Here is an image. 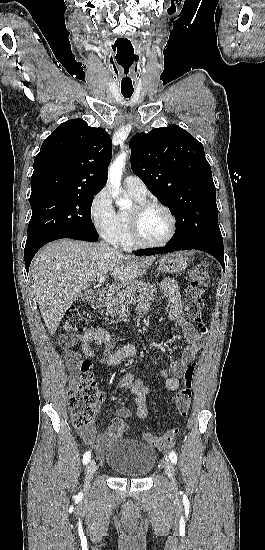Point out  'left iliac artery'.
<instances>
[{
	"mask_svg": "<svg viewBox=\"0 0 265 550\" xmlns=\"http://www.w3.org/2000/svg\"><path fill=\"white\" fill-rule=\"evenodd\" d=\"M169 458L171 460L172 463L176 464L177 463V455L174 451H171L170 454H169Z\"/></svg>",
	"mask_w": 265,
	"mask_h": 550,
	"instance_id": "left-iliac-artery-1",
	"label": "left iliac artery"
}]
</instances>
